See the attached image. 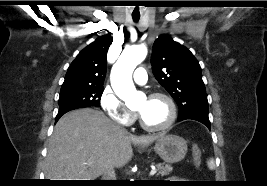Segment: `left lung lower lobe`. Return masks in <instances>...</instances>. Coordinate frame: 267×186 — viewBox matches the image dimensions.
Instances as JSON below:
<instances>
[{"instance_id":"1","label":"left lung lower lobe","mask_w":267,"mask_h":186,"mask_svg":"<svg viewBox=\"0 0 267 186\" xmlns=\"http://www.w3.org/2000/svg\"><path fill=\"white\" fill-rule=\"evenodd\" d=\"M186 119H192V120L199 121V122L203 123L204 125H206L210 129V121H209V118H207V117L191 116V117L179 118L178 120L183 121Z\"/></svg>"}]
</instances>
